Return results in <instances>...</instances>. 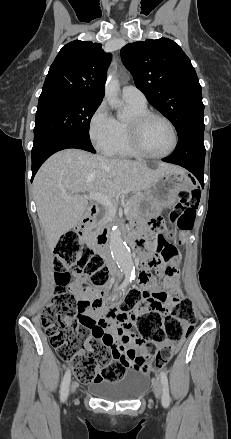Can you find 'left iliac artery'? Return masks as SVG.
Masks as SVG:
<instances>
[{
    "mask_svg": "<svg viewBox=\"0 0 231 439\" xmlns=\"http://www.w3.org/2000/svg\"><path fill=\"white\" fill-rule=\"evenodd\" d=\"M160 379L162 384V404L164 407H168L170 404V394H169L168 378L164 371H161Z\"/></svg>",
    "mask_w": 231,
    "mask_h": 439,
    "instance_id": "1",
    "label": "left iliac artery"
}]
</instances>
